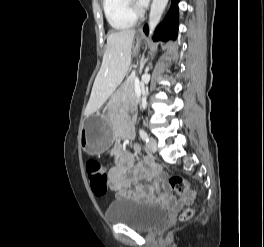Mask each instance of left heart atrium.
I'll return each mask as SVG.
<instances>
[{"label":"left heart atrium","mask_w":264,"mask_h":247,"mask_svg":"<svg viewBox=\"0 0 264 247\" xmlns=\"http://www.w3.org/2000/svg\"><path fill=\"white\" fill-rule=\"evenodd\" d=\"M137 2L139 3V5L145 6L149 2V0H137Z\"/></svg>","instance_id":"obj_1"}]
</instances>
